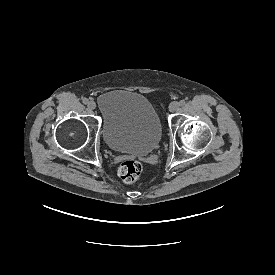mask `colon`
<instances>
[{"instance_id": "colon-1", "label": "colon", "mask_w": 275, "mask_h": 275, "mask_svg": "<svg viewBox=\"0 0 275 275\" xmlns=\"http://www.w3.org/2000/svg\"><path fill=\"white\" fill-rule=\"evenodd\" d=\"M142 172V165L137 160H126L121 163L118 173L125 183H132Z\"/></svg>"}]
</instances>
